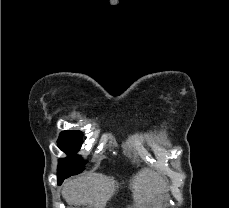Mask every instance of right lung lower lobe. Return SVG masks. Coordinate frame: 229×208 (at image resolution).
<instances>
[{"label": "right lung lower lobe", "instance_id": "98d812e1", "mask_svg": "<svg viewBox=\"0 0 229 208\" xmlns=\"http://www.w3.org/2000/svg\"><path fill=\"white\" fill-rule=\"evenodd\" d=\"M58 178V184L61 185V183L63 182V180L67 177L65 176H61V177H57Z\"/></svg>", "mask_w": 229, "mask_h": 208}]
</instances>
